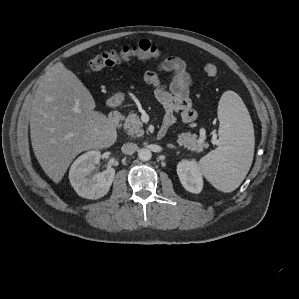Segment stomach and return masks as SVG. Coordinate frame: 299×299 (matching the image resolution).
<instances>
[{
	"mask_svg": "<svg viewBox=\"0 0 299 299\" xmlns=\"http://www.w3.org/2000/svg\"><path fill=\"white\" fill-rule=\"evenodd\" d=\"M122 100H123V95L122 94H116L115 96L112 97L111 104L113 106H118L119 104H121Z\"/></svg>",
	"mask_w": 299,
	"mask_h": 299,
	"instance_id": "stomach-1",
	"label": "stomach"
}]
</instances>
